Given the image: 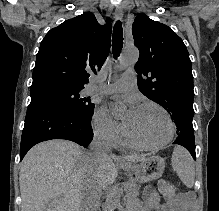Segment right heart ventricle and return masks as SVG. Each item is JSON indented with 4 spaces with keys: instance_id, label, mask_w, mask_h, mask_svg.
<instances>
[{
    "instance_id": "1",
    "label": "right heart ventricle",
    "mask_w": 219,
    "mask_h": 211,
    "mask_svg": "<svg viewBox=\"0 0 219 211\" xmlns=\"http://www.w3.org/2000/svg\"><path fill=\"white\" fill-rule=\"evenodd\" d=\"M124 144H126V145H127L128 143H127L126 141H124Z\"/></svg>"
}]
</instances>
